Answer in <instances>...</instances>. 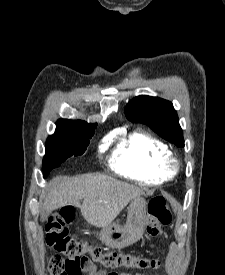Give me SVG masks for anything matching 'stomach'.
Segmentation results:
<instances>
[{"label": "stomach", "mask_w": 225, "mask_h": 275, "mask_svg": "<svg viewBox=\"0 0 225 275\" xmlns=\"http://www.w3.org/2000/svg\"><path fill=\"white\" fill-rule=\"evenodd\" d=\"M148 203L141 196L134 198L129 207L124 224L111 223L98 233L99 239L111 248H125L143 236L146 225Z\"/></svg>", "instance_id": "1"}]
</instances>
